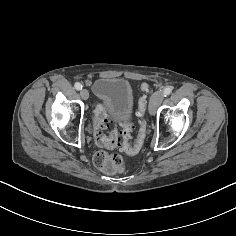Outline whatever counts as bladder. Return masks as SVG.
Listing matches in <instances>:
<instances>
[{"label":"bladder","instance_id":"1","mask_svg":"<svg viewBox=\"0 0 236 236\" xmlns=\"http://www.w3.org/2000/svg\"><path fill=\"white\" fill-rule=\"evenodd\" d=\"M93 90L109 113L124 119L132 115L134 97L128 81L103 77L94 83Z\"/></svg>","mask_w":236,"mask_h":236}]
</instances>
